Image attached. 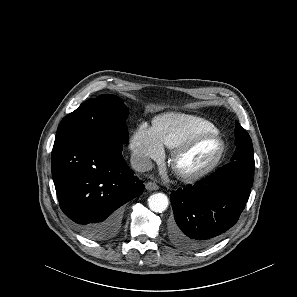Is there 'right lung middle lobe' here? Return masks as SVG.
Masks as SVG:
<instances>
[{
  "mask_svg": "<svg viewBox=\"0 0 297 297\" xmlns=\"http://www.w3.org/2000/svg\"><path fill=\"white\" fill-rule=\"evenodd\" d=\"M128 108L122 99L103 94L82 103L63 118L58 126L55 141L81 136L105 134L120 143L128 141L126 118Z\"/></svg>",
  "mask_w": 297,
  "mask_h": 297,
  "instance_id": "1",
  "label": "right lung middle lobe"
}]
</instances>
